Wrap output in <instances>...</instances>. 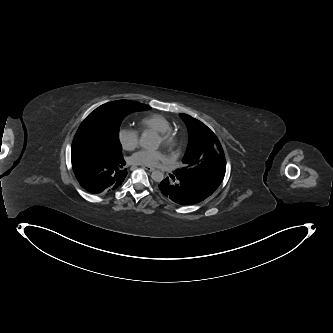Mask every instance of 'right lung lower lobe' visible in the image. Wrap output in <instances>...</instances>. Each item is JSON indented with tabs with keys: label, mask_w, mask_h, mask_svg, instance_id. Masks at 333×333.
I'll use <instances>...</instances> for the list:
<instances>
[{
	"label": "right lung lower lobe",
	"mask_w": 333,
	"mask_h": 333,
	"mask_svg": "<svg viewBox=\"0 0 333 333\" xmlns=\"http://www.w3.org/2000/svg\"><path fill=\"white\" fill-rule=\"evenodd\" d=\"M72 168L79 184L91 194L117 190L127 176L125 160L108 159L89 149H71Z\"/></svg>",
	"instance_id": "98d812e1"
}]
</instances>
